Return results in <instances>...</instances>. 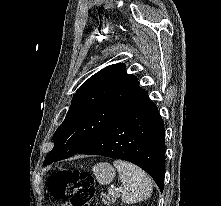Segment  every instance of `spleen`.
Returning a JSON list of instances; mask_svg holds the SVG:
<instances>
[{
	"label": "spleen",
	"mask_w": 221,
	"mask_h": 206,
	"mask_svg": "<svg viewBox=\"0 0 221 206\" xmlns=\"http://www.w3.org/2000/svg\"><path fill=\"white\" fill-rule=\"evenodd\" d=\"M114 166L124 187L121 195L124 203H137L151 196L152 181L142 169L122 160H115Z\"/></svg>",
	"instance_id": "1"
}]
</instances>
